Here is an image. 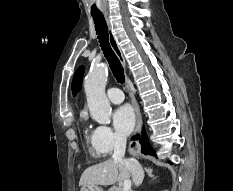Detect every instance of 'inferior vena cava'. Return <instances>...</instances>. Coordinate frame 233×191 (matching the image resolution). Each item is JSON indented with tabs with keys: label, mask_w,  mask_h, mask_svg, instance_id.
Listing matches in <instances>:
<instances>
[{
	"label": "inferior vena cava",
	"mask_w": 233,
	"mask_h": 191,
	"mask_svg": "<svg viewBox=\"0 0 233 191\" xmlns=\"http://www.w3.org/2000/svg\"><path fill=\"white\" fill-rule=\"evenodd\" d=\"M126 149V138L119 136L114 144L113 160L124 164L132 174V180L136 186H139L144 178L143 168L140 163L134 159H124Z\"/></svg>",
	"instance_id": "obj_1"
}]
</instances>
